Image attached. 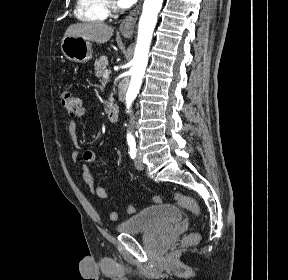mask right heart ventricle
<instances>
[{"label": "right heart ventricle", "mask_w": 288, "mask_h": 280, "mask_svg": "<svg viewBox=\"0 0 288 280\" xmlns=\"http://www.w3.org/2000/svg\"><path fill=\"white\" fill-rule=\"evenodd\" d=\"M75 16L85 22H102L109 15L108 0H77Z\"/></svg>", "instance_id": "1"}]
</instances>
